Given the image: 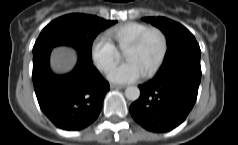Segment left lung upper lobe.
<instances>
[{
  "mask_svg": "<svg viewBox=\"0 0 238 145\" xmlns=\"http://www.w3.org/2000/svg\"><path fill=\"white\" fill-rule=\"evenodd\" d=\"M143 20L160 28L167 38L169 50L161 69L189 58H200L201 51L196 39L183 25L165 17H145Z\"/></svg>",
  "mask_w": 238,
  "mask_h": 145,
  "instance_id": "5c2ea615",
  "label": "left lung upper lobe"
}]
</instances>
